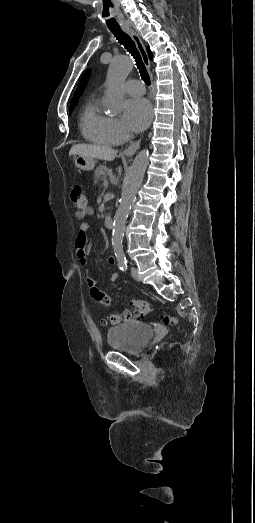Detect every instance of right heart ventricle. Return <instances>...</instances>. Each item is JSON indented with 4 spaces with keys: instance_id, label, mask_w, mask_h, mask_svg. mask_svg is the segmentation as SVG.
<instances>
[{
    "instance_id": "e07e8e85",
    "label": "right heart ventricle",
    "mask_w": 255,
    "mask_h": 523,
    "mask_svg": "<svg viewBox=\"0 0 255 523\" xmlns=\"http://www.w3.org/2000/svg\"><path fill=\"white\" fill-rule=\"evenodd\" d=\"M81 132L85 140L95 145L110 146L119 142L114 118L102 110L99 100L89 101L83 111Z\"/></svg>"
}]
</instances>
